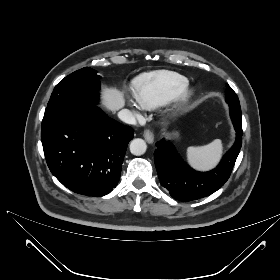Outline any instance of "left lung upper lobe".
Masks as SVG:
<instances>
[{
	"mask_svg": "<svg viewBox=\"0 0 280 280\" xmlns=\"http://www.w3.org/2000/svg\"><path fill=\"white\" fill-rule=\"evenodd\" d=\"M226 102L229 104L230 111L235 110L239 114H241V107L239 103V99L233 89L227 85V91L225 94Z\"/></svg>",
	"mask_w": 280,
	"mask_h": 280,
	"instance_id": "5c2ea615",
	"label": "left lung upper lobe"
}]
</instances>
